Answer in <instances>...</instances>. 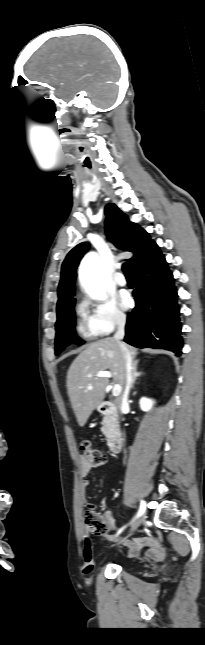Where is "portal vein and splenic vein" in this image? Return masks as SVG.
Returning a JSON list of instances; mask_svg holds the SVG:
<instances>
[{
	"mask_svg": "<svg viewBox=\"0 0 205 645\" xmlns=\"http://www.w3.org/2000/svg\"><path fill=\"white\" fill-rule=\"evenodd\" d=\"M96 377H106V378H111V377H112V373H111V372H109V371H100V372H98V373L96 374ZM88 389H92V386H88ZM121 391H122V387H121L120 385L116 384V385H114V386H113V389H112V395H113L114 397H118V396L121 394Z\"/></svg>",
	"mask_w": 205,
	"mask_h": 645,
	"instance_id": "portal-vein-and-splenic-vein-1",
	"label": "portal vein and splenic vein"
}]
</instances>
